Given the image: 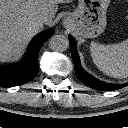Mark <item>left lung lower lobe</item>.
Listing matches in <instances>:
<instances>
[{
	"mask_svg": "<svg viewBox=\"0 0 128 128\" xmlns=\"http://www.w3.org/2000/svg\"><path fill=\"white\" fill-rule=\"evenodd\" d=\"M69 41L71 46V53H72V58L74 62L75 73H76V76L79 78V80L83 84H85L90 88H93L96 90H102V91H113L116 89H121L128 85V83L122 84V85L108 84V83L99 81L93 76H91L90 74H88L86 71L83 70V68L80 65V59L76 50L75 40L70 36Z\"/></svg>",
	"mask_w": 128,
	"mask_h": 128,
	"instance_id": "left-lung-lower-lobe-1",
	"label": "left lung lower lobe"
}]
</instances>
